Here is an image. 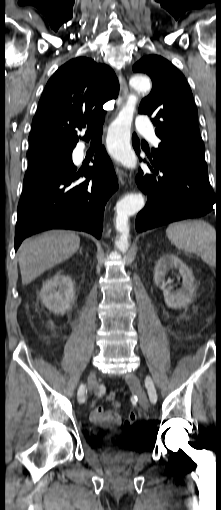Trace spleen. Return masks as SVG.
<instances>
[{"mask_svg":"<svg viewBox=\"0 0 221 510\" xmlns=\"http://www.w3.org/2000/svg\"><path fill=\"white\" fill-rule=\"evenodd\" d=\"M168 239L176 248L200 256L206 263L214 264L216 256V231L202 220L172 223L166 229Z\"/></svg>","mask_w":221,"mask_h":510,"instance_id":"3e777b00","label":"spleen"}]
</instances>
